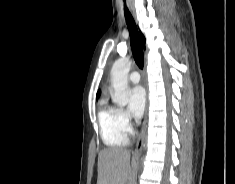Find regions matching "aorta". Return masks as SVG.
<instances>
[{
  "label": "aorta",
  "instance_id": "obj_1",
  "mask_svg": "<svg viewBox=\"0 0 235 184\" xmlns=\"http://www.w3.org/2000/svg\"><path fill=\"white\" fill-rule=\"evenodd\" d=\"M131 68V62L129 58H120L116 60L112 66L110 80L114 88V96H112V102L117 106H127L129 102V90H128V72Z\"/></svg>",
  "mask_w": 235,
  "mask_h": 184
}]
</instances>
